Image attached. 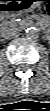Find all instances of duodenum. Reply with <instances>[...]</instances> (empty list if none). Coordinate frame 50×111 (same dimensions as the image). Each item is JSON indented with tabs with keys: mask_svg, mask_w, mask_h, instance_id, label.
Masks as SVG:
<instances>
[{
	"mask_svg": "<svg viewBox=\"0 0 50 111\" xmlns=\"http://www.w3.org/2000/svg\"><path fill=\"white\" fill-rule=\"evenodd\" d=\"M26 24L27 25L36 24V25L40 26L41 28H43L45 30L48 29V26H49L48 23L44 20H28V21H26Z\"/></svg>",
	"mask_w": 50,
	"mask_h": 111,
	"instance_id": "1",
	"label": "duodenum"
}]
</instances>
